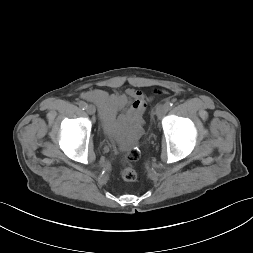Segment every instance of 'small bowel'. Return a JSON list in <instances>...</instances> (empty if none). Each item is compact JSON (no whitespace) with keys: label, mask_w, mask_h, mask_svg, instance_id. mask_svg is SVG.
Here are the masks:
<instances>
[{"label":"small bowel","mask_w":253,"mask_h":253,"mask_svg":"<svg viewBox=\"0 0 253 253\" xmlns=\"http://www.w3.org/2000/svg\"><path fill=\"white\" fill-rule=\"evenodd\" d=\"M82 98L98 107L104 129L121 146L124 144L123 127L136 133L148 100L143 92L134 88L125 93L94 89L84 92Z\"/></svg>","instance_id":"obj_1"}]
</instances>
